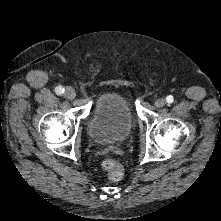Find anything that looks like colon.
I'll use <instances>...</instances> for the list:
<instances>
[{"instance_id":"5ec220e1","label":"colon","mask_w":221,"mask_h":221,"mask_svg":"<svg viewBox=\"0 0 221 221\" xmlns=\"http://www.w3.org/2000/svg\"><path fill=\"white\" fill-rule=\"evenodd\" d=\"M102 168L108 173L110 180L117 182L123 178V165L116 159L107 158L102 162Z\"/></svg>"}]
</instances>
